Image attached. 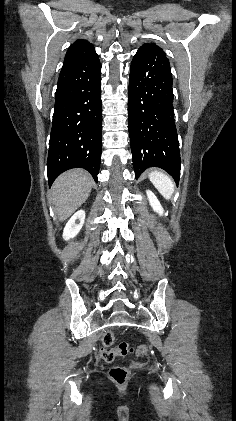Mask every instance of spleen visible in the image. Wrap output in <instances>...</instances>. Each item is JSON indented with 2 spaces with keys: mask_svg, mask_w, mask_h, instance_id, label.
<instances>
[{
  "mask_svg": "<svg viewBox=\"0 0 236 421\" xmlns=\"http://www.w3.org/2000/svg\"><path fill=\"white\" fill-rule=\"evenodd\" d=\"M149 178L164 198H171L175 184L170 176H167L164 172H159V170H152V172H149Z\"/></svg>",
  "mask_w": 236,
  "mask_h": 421,
  "instance_id": "obj_1",
  "label": "spleen"
}]
</instances>
